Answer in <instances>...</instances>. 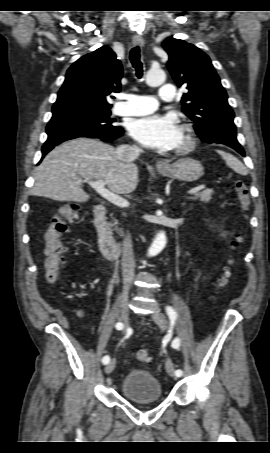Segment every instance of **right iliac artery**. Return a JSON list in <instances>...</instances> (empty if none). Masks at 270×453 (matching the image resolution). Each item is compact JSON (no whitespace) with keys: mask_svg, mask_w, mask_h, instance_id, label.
Returning <instances> with one entry per match:
<instances>
[{"mask_svg":"<svg viewBox=\"0 0 270 453\" xmlns=\"http://www.w3.org/2000/svg\"><path fill=\"white\" fill-rule=\"evenodd\" d=\"M116 329H117V330H122V329H123V324H122L121 322H118V323L116 324ZM109 361H110V356H109V355H105V356L103 357V359H102L103 364H108Z\"/></svg>","mask_w":270,"mask_h":453,"instance_id":"1","label":"right iliac artery"}]
</instances>
